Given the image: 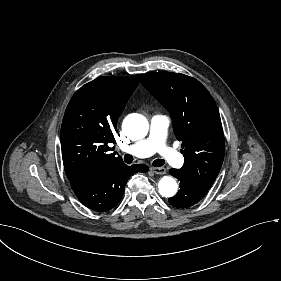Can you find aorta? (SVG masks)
I'll list each match as a JSON object with an SVG mask.
<instances>
[{
    "mask_svg": "<svg viewBox=\"0 0 281 281\" xmlns=\"http://www.w3.org/2000/svg\"><path fill=\"white\" fill-rule=\"evenodd\" d=\"M148 129L147 119L139 114L129 115L123 123V130L130 138L135 140L145 137ZM158 188L163 197H173L177 192L178 185L173 177L164 176L160 179Z\"/></svg>",
    "mask_w": 281,
    "mask_h": 281,
    "instance_id": "762f6f07",
    "label": "aorta"
}]
</instances>
